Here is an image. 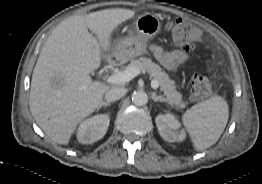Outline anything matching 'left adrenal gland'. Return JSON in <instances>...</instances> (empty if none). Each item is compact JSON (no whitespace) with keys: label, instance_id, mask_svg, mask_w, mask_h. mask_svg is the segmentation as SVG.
I'll use <instances>...</instances> for the list:
<instances>
[{"label":"left adrenal gland","instance_id":"obj_1","mask_svg":"<svg viewBox=\"0 0 262 184\" xmlns=\"http://www.w3.org/2000/svg\"><path fill=\"white\" fill-rule=\"evenodd\" d=\"M152 99L154 102H166L171 105V103L165 99L163 96H157L155 93H152Z\"/></svg>","mask_w":262,"mask_h":184}]
</instances>
